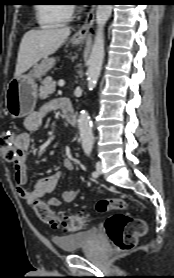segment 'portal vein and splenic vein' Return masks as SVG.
Listing matches in <instances>:
<instances>
[{"mask_svg":"<svg viewBox=\"0 0 174 278\" xmlns=\"http://www.w3.org/2000/svg\"><path fill=\"white\" fill-rule=\"evenodd\" d=\"M64 81H60L59 83H58V85L60 86V87H63L64 86Z\"/></svg>","mask_w":174,"mask_h":278,"instance_id":"portal-vein-and-splenic-vein-1","label":"portal vein and splenic vein"}]
</instances>
